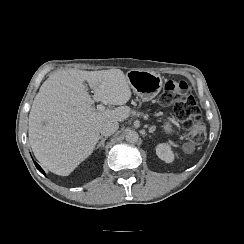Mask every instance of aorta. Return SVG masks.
<instances>
[{
    "label": "aorta",
    "instance_id": "obj_1",
    "mask_svg": "<svg viewBox=\"0 0 244 244\" xmlns=\"http://www.w3.org/2000/svg\"><path fill=\"white\" fill-rule=\"evenodd\" d=\"M125 138L129 143H136L139 139V134L134 130H129L126 132Z\"/></svg>",
    "mask_w": 244,
    "mask_h": 244
}]
</instances>
